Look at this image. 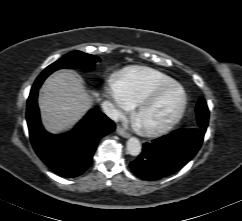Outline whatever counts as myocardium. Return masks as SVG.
I'll use <instances>...</instances> for the list:
<instances>
[{"mask_svg":"<svg viewBox=\"0 0 242 221\" xmlns=\"http://www.w3.org/2000/svg\"><path fill=\"white\" fill-rule=\"evenodd\" d=\"M179 90L181 93V103L176 110V112L163 124L156 126V127H150V128H143L141 127V131L144 134L147 135H159L162 133L167 132L170 130L183 116L186 106H187V94L184 90V88L179 83H172L169 85H165L162 87H159L154 92H152L149 96H147L145 99H143L140 103H138L133 111V118L135 121H137V117L147 110L149 107L153 106L166 92L170 90Z\"/></svg>","mask_w":242,"mask_h":221,"instance_id":"f54148a6","label":"myocardium"}]
</instances>
